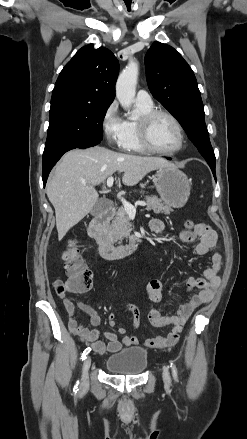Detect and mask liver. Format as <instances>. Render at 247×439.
Instances as JSON below:
<instances>
[{"label":"liver","mask_w":247,"mask_h":439,"mask_svg":"<svg viewBox=\"0 0 247 439\" xmlns=\"http://www.w3.org/2000/svg\"><path fill=\"white\" fill-rule=\"evenodd\" d=\"M169 166L175 165L160 157L117 153L99 146L68 151L46 186L55 209L58 239L93 209L99 198L95 186L114 173L123 172V184L133 186L150 171Z\"/></svg>","instance_id":"6515ba94"}]
</instances>
